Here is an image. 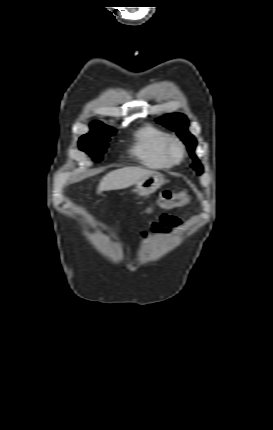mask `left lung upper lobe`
<instances>
[{"mask_svg":"<svg viewBox=\"0 0 273 430\" xmlns=\"http://www.w3.org/2000/svg\"><path fill=\"white\" fill-rule=\"evenodd\" d=\"M157 122L175 131L178 134L182 141L187 145L190 156L193 158L194 163L191 165L192 168L197 171L198 175L202 174V165L194 154L196 140L194 136L188 132V120L186 116L180 113L168 114L158 118Z\"/></svg>","mask_w":273,"mask_h":430,"instance_id":"5c2ea615","label":"left lung upper lobe"}]
</instances>
